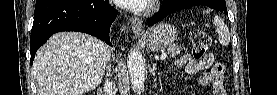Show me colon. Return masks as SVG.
<instances>
[{"label":"colon","mask_w":277,"mask_h":95,"mask_svg":"<svg viewBox=\"0 0 277 95\" xmlns=\"http://www.w3.org/2000/svg\"><path fill=\"white\" fill-rule=\"evenodd\" d=\"M211 46V37L203 29H194L190 33V49L197 59L204 57Z\"/></svg>","instance_id":"colon-1"}]
</instances>
